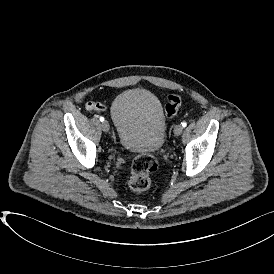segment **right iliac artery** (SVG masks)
I'll list each match as a JSON object with an SVG mask.
<instances>
[{"instance_id": "right-iliac-artery-1", "label": "right iliac artery", "mask_w": 274, "mask_h": 274, "mask_svg": "<svg viewBox=\"0 0 274 274\" xmlns=\"http://www.w3.org/2000/svg\"><path fill=\"white\" fill-rule=\"evenodd\" d=\"M100 121L103 122L104 121V117H100Z\"/></svg>"}]
</instances>
